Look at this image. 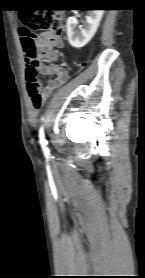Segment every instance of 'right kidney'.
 <instances>
[{
	"label": "right kidney",
	"mask_w": 145,
	"mask_h": 278,
	"mask_svg": "<svg viewBox=\"0 0 145 278\" xmlns=\"http://www.w3.org/2000/svg\"><path fill=\"white\" fill-rule=\"evenodd\" d=\"M77 14V11H73ZM104 10H89L86 22L79 30L76 29V16L69 17L67 20V36L72 47L80 49L85 46L94 36L103 16Z\"/></svg>",
	"instance_id": "ca27d5eb"
}]
</instances>
